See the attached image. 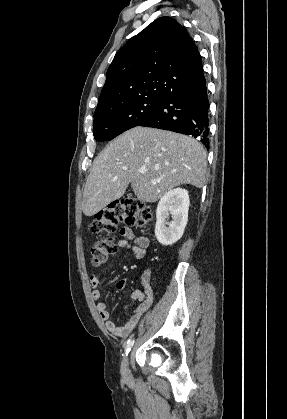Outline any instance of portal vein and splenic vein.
Wrapping results in <instances>:
<instances>
[{
  "instance_id": "18ae733b",
  "label": "portal vein and splenic vein",
  "mask_w": 287,
  "mask_h": 419,
  "mask_svg": "<svg viewBox=\"0 0 287 419\" xmlns=\"http://www.w3.org/2000/svg\"><path fill=\"white\" fill-rule=\"evenodd\" d=\"M141 174H144L145 172H146V170L145 169H140V171H139Z\"/></svg>"
}]
</instances>
